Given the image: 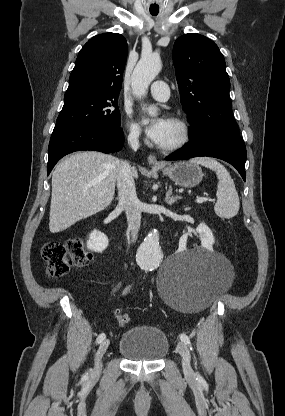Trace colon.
<instances>
[{"label":"colon","instance_id":"5ec220e1","mask_svg":"<svg viewBox=\"0 0 285 416\" xmlns=\"http://www.w3.org/2000/svg\"><path fill=\"white\" fill-rule=\"evenodd\" d=\"M41 254L52 277L64 276L71 267L84 266L90 260L83 241L78 238H72L67 242H48L42 247ZM114 315L121 326L127 325L130 321L129 316L119 307L114 309Z\"/></svg>","mask_w":285,"mask_h":416}]
</instances>
